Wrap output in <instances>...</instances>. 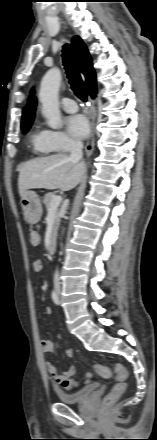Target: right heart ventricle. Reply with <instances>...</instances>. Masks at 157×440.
I'll use <instances>...</instances> for the list:
<instances>
[{"instance_id":"obj_1","label":"right heart ventricle","mask_w":157,"mask_h":440,"mask_svg":"<svg viewBox=\"0 0 157 440\" xmlns=\"http://www.w3.org/2000/svg\"><path fill=\"white\" fill-rule=\"evenodd\" d=\"M29 144L35 154L47 155L54 151L48 141L47 131L35 126L29 135Z\"/></svg>"}]
</instances>
